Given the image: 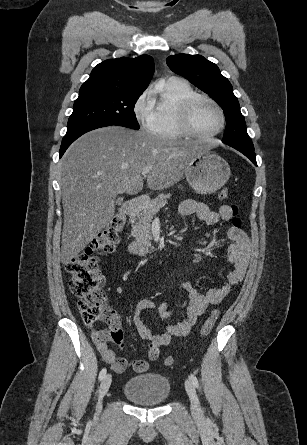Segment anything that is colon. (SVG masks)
Segmentation results:
<instances>
[{
  "label": "colon",
  "instance_id": "colon-1",
  "mask_svg": "<svg viewBox=\"0 0 307 445\" xmlns=\"http://www.w3.org/2000/svg\"><path fill=\"white\" fill-rule=\"evenodd\" d=\"M229 191L227 188L220 190L218 198L227 199ZM234 213L232 223L234 227H241V220L237 216V207L231 205ZM126 223V217L122 213L116 214L107 226L98 234L91 246L84 252L72 258L66 264V270L71 275L69 288L70 291L79 298L78 308L81 317L86 324H92L97 320H103L110 325L108 330V340L115 344H122L123 332L119 315L107 303V297L102 290L105 283V277L100 270V254H109L113 252L118 243L119 236ZM219 311L213 310L209 317L203 323L200 336L206 337L213 329ZM174 363L172 356L164 359L166 366Z\"/></svg>",
  "mask_w": 307,
  "mask_h": 445
}]
</instances>
